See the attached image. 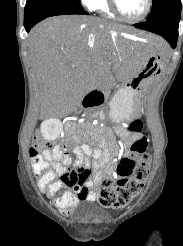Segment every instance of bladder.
<instances>
[{"label":"bladder","instance_id":"31cf9c89","mask_svg":"<svg viewBox=\"0 0 183 246\" xmlns=\"http://www.w3.org/2000/svg\"><path fill=\"white\" fill-rule=\"evenodd\" d=\"M107 213L100 208H89L82 215L81 219L84 222H101L106 219Z\"/></svg>","mask_w":183,"mask_h":246}]
</instances>
